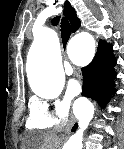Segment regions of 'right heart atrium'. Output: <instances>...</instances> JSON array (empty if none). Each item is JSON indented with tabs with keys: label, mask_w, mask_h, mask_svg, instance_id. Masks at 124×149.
<instances>
[{
	"label": "right heart atrium",
	"mask_w": 124,
	"mask_h": 149,
	"mask_svg": "<svg viewBox=\"0 0 124 149\" xmlns=\"http://www.w3.org/2000/svg\"><path fill=\"white\" fill-rule=\"evenodd\" d=\"M69 100H45L33 98L30 103L28 126L36 129H50L59 125L69 111Z\"/></svg>",
	"instance_id": "right-heart-atrium-1"
}]
</instances>
